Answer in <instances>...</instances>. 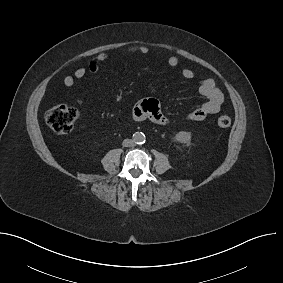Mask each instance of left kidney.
Instances as JSON below:
<instances>
[{
	"label": "left kidney",
	"mask_w": 283,
	"mask_h": 283,
	"mask_svg": "<svg viewBox=\"0 0 283 283\" xmlns=\"http://www.w3.org/2000/svg\"><path fill=\"white\" fill-rule=\"evenodd\" d=\"M175 140L179 143L188 144L191 141V133L186 131H180L175 135Z\"/></svg>",
	"instance_id": "5707ae66"
}]
</instances>
